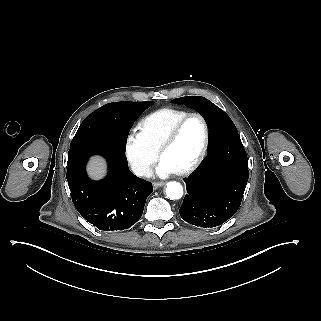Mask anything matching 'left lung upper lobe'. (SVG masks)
Returning <instances> with one entry per match:
<instances>
[{"instance_id":"obj_1","label":"left lung upper lobe","mask_w":321,"mask_h":321,"mask_svg":"<svg viewBox=\"0 0 321 321\" xmlns=\"http://www.w3.org/2000/svg\"><path fill=\"white\" fill-rule=\"evenodd\" d=\"M173 102L185 103L201 114L209 126L210 141H214L228 134L238 133L230 117L204 97H181L174 99Z\"/></svg>"}]
</instances>
